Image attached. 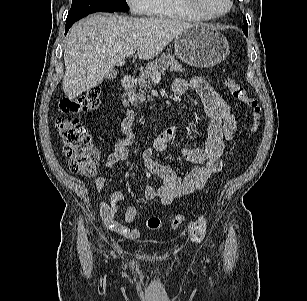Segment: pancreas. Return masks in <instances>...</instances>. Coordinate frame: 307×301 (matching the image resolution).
I'll return each instance as SVG.
<instances>
[{"instance_id":"pancreas-1","label":"pancreas","mask_w":307,"mask_h":301,"mask_svg":"<svg viewBox=\"0 0 307 301\" xmlns=\"http://www.w3.org/2000/svg\"><path fill=\"white\" fill-rule=\"evenodd\" d=\"M169 67L171 71L182 72L184 70L178 60L170 53H163L160 57L148 63L145 69L138 75V86L132 90L130 99L135 100L136 105H143L146 99L151 100V97L146 93L151 89L153 71L163 68L167 69ZM136 88H138L137 94Z\"/></svg>"}]
</instances>
